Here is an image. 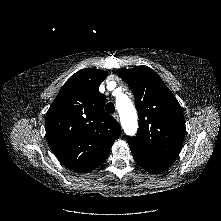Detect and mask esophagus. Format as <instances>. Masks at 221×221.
<instances>
[{"label": "esophagus", "instance_id": "obj_1", "mask_svg": "<svg viewBox=\"0 0 221 221\" xmlns=\"http://www.w3.org/2000/svg\"><path fill=\"white\" fill-rule=\"evenodd\" d=\"M113 117L118 121L119 120V116L117 113L113 114Z\"/></svg>", "mask_w": 221, "mask_h": 221}]
</instances>
